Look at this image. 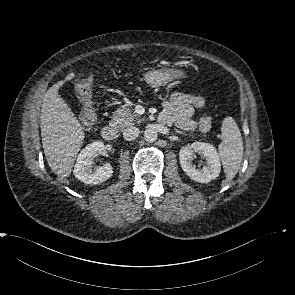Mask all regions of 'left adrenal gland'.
<instances>
[{
	"label": "left adrenal gland",
	"instance_id": "left-adrenal-gland-1",
	"mask_svg": "<svg viewBox=\"0 0 295 295\" xmlns=\"http://www.w3.org/2000/svg\"><path fill=\"white\" fill-rule=\"evenodd\" d=\"M175 130V132H177L178 134H183V135H185L186 133L185 132H183V131H180V130H178V129H174Z\"/></svg>",
	"mask_w": 295,
	"mask_h": 295
}]
</instances>
